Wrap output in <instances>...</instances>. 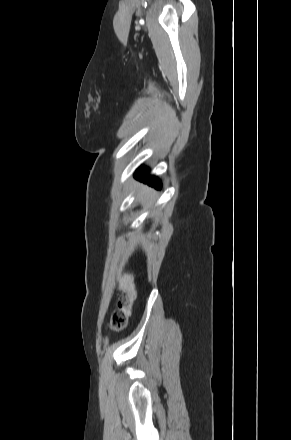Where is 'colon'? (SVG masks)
Masks as SVG:
<instances>
[{"mask_svg":"<svg viewBox=\"0 0 291 440\" xmlns=\"http://www.w3.org/2000/svg\"><path fill=\"white\" fill-rule=\"evenodd\" d=\"M136 299L134 287H126L119 300V307L110 319V328L114 331H122L128 325V317L132 313V305Z\"/></svg>","mask_w":291,"mask_h":440,"instance_id":"1","label":"colon"}]
</instances>
